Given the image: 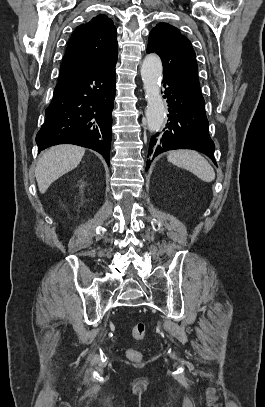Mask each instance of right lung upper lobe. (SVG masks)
Segmentation results:
<instances>
[{"mask_svg":"<svg viewBox=\"0 0 265 407\" xmlns=\"http://www.w3.org/2000/svg\"><path fill=\"white\" fill-rule=\"evenodd\" d=\"M116 27L105 15H98L76 27L67 43L58 84L74 80L117 58Z\"/></svg>","mask_w":265,"mask_h":407,"instance_id":"1","label":"right lung upper lobe"}]
</instances>
